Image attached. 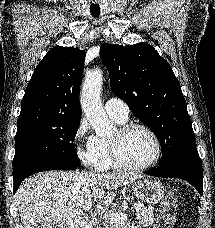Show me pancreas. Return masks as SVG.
<instances>
[{"label":"pancreas","mask_w":215,"mask_h":228,"mask_svg":"<svg viewBox=\"0 0 215 228\" xmlns=\"http://www.w3.org/2000/svg\"><path fill=\"white\" fill-rule=\"evenodd\" d=\"M142 206V210H136L135 220H137L138 228H148V226H152L155 224V218L153 214V210H148L146 206L140 204ZM108 228H127L126 222H116L114 226H108Z\"/></svg>","instance_id":"pancreas-1"}]
</instances>
